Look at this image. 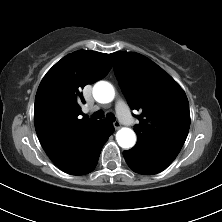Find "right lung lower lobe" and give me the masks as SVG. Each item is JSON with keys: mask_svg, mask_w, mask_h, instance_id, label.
I'll return each instance as SVG.
<instances>
[{"mask_svg": "<svg viewBox=\"0 0 222 222\" xmlns=\"http://www.w3.org/2000/svg\"><path fill=\"white\" fill-rule=\"evenodd\" d=\"M114 132V127L109 121H104L102 125L93 131L87 141L89 151L84 160L79 164L64 168L63 171L72 175H84L94 170L104 143Z\"/></svg>", "mask_w": 222, "mask_h": 222, "instance_id": "98d812e1", "label": "right lung lower lobe"}]
</instances>
